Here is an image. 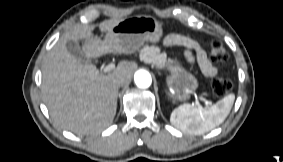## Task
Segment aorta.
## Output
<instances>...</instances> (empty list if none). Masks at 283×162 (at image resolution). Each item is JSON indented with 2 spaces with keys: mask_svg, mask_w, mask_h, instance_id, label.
Instances as JSON below:
<instances>
[{
  "mask_svg": "<svg viewBox=\"0 0 283 162\" xmlns=\"http://www.w3.org/2000/svg\"><path fill=\"white\" fill-rule=\"evenodd\" d=\"M134 81L139 88H148L152 83V78L148 71L138 70L134 75Z\"/></svg>",
  "mask_w": 283,
  "mask_h": 162,
  "instance_id": "aorta-1",
  "label": "aorta"
}]
</instances>
